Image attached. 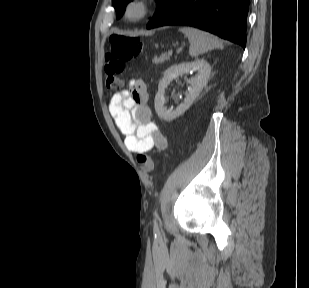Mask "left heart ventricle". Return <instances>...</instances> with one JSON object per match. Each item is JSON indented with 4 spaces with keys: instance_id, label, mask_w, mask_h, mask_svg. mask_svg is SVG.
Instances as JSON below:
<instances>
[{
    "instance_id": "left-heart-ventricle-1",
    "label": "left heart ventricle",
    "mask_w": 309,
    "mask_h": 288,
    "mask_svg": "<svg viewBox=\"0 0 309 288\" xmlns=\"http://www.w3.org/2000/svg\"><path fill=\"white\" fill-rule=\"evenodd\" d=\"M132 13L134 14V13H136V11H135V10H133V12H132Z\"/></svg>"
}]
</instances>
